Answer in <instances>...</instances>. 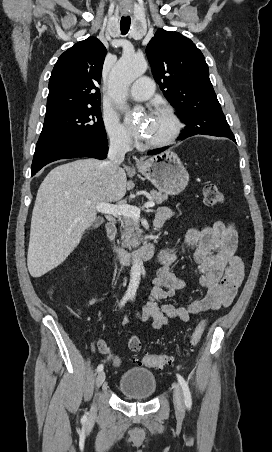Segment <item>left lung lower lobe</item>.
<instances>
[{"instance_id": "0a47b994", "label": "left lung lower lobe", "mask_w": 272, "mask_h": 452, "mask_svg": "<svg viewBox=\"0 0 272 452\" xmlns=\"http://www.w3.org/2000/svg\"><path fill=\"white\" fill-rule=\"evenodd\" d=\"M196 134H204V133L199 132L197 130L185 129V131L182 132V134H181L179 139L182 140V139H185L187 137H190V136H193V135H196ZM204 135H208V134H204ZM213 136H224V137H228L231 140L235 141V137H234L233 133L224 134V135H213ZM166 149H167V147L161 148V149H155V150L150 151L148 154L149 155H155V154H158V153H160V152H162V151H164Z\"/></svg>"}]
</instances>
